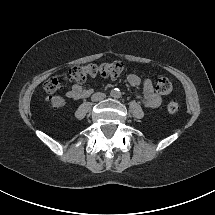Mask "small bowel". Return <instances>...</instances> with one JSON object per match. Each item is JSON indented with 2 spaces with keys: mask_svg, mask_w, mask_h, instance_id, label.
I'll return each instance as SVG.
<instances>
[{
  "mask_svg": "<svg viewBox=\"0 0 215 215\" xmlns=\"http://www.w3.org/2000/svg\"><path fill=\"white\" fill-rule=\"evenodd\" d=\"M127 82L130 86L136 87L141 84V78L136 74H129L127 77ZM93 93L92 88H86L80 83H76L72 86L66 96L70 99H82L89 97ZM141 100L143 104L150 109H155L161 104V97L155 91L153 82L151 79H145L142 82V97Z\"/></svg>",
  "mask_w": 215,
  "mask_h": 215,
  "instance_id": "small-bowel-1",
  "label": "small bowel"
}]
</instances>
